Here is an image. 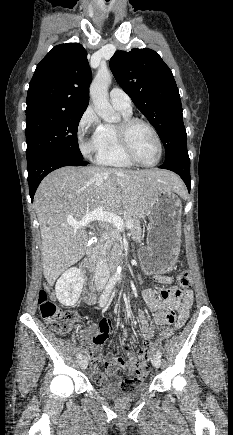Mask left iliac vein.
I'll return each instance as SVG.
<instances>
[{"label":"left iliac vein","instance_id":"left-iliac-vein-1","mask_svg":"<svg viewBox=\"0 0 233 435\" xmlns=\"http://www.w3.org/2000/svg\"><path fill=\"white\" fill-rule=\"evenodd\" d=\"M151 362L156 368H159L161 365V359L158 355H154L151 359Z\"/></svg>","mask_w":233,"mask_h":435}]
</instances>
